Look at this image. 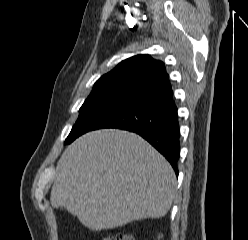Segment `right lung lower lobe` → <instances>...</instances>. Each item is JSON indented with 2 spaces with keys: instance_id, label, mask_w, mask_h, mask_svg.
I'll use <instances>...</instances> for the list:
<instances>
[{
  "instance_id": "obj_1",
  "label": "right lung lower lobe",
  "mask_w": 248,
  "mask_h": 240,
  "mask_svg": "<svg viewBox=\"0 0 248 240\" xmlns=\"http://www.w3.org/2000/svg\"><path fill=\"white\" fill-rule=\"evenodd\" d=\"M101 128L123 129L142 136L170 162L178 175L180 132L172 90L125 106L89 131Z\"/></svg>"
}]
</instances>
